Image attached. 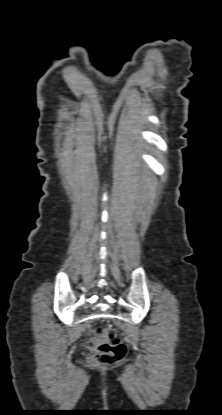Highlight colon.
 Instances as JSON below:
<instances>
[{
  "label": "colon",
  "mask_w": 222,
  "mask_h": 415,
  "mask_svg": "<svg viewBox=\"0 0 222 415\" xmlns=\"http://www.w3.org/2000/svg\"><path fill=\"white\" fill-rule=\"evenodd\" d=\"M84 346L89 349V358L103 365H112L122 361L127 354V347L118 337L113 327L99 330L93 329L83 340Z\"/></svg>",
  "instance_id": "colon-1"
}]
</instances>
